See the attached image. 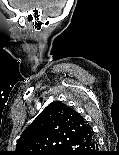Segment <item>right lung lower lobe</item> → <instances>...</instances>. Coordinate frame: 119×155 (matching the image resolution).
Instances as JSON below:
<instances>
[{
  "label": "right lung lower lobe",
  "instance_id": "right-lung-lower-lobe-1",
  "mask_svg": "<svg viewBox=\"0 0 119 155\" xmlns=\"http://www.w3.org/2000/svg\"><path fill=\"white\" fill-rule=\"evenodd\" d=\"M59 155H97V142L91 128L69 142Z\"/></svg>",
  "mask_w": 119,
  "mask_h": 155
}]
</instances>
